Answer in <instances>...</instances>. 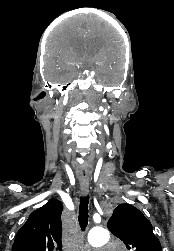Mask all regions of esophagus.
Listing matches in <instances>:
<instances>
[{
	"label": "esophagus",
	"mask_w": 174,
	"mask_h": 251,
	"mask_svg": "<svg viewBox=\"0 0 174 251\" xmlns=\"http://www.w3.org/2000/svg\"><path fill=\"white\" fill-rule=\"evenodd\" d=\"M80 189H81V192L84 194V195H87L88 192H89V183L87 182H82L80 184Z\"/></svg>",
	"instance_id": "obj_1"
}]
</instances>
